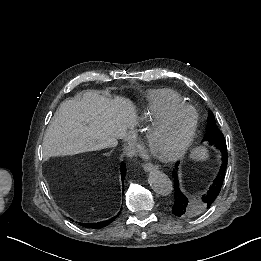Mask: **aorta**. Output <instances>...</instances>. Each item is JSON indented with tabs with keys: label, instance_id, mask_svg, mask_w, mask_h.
Here are the masks:
<instances>
[{
	"label": "aorta",
	"instance_id": "1",
	"mask_svg": "<svg viewBox=\"0 0 261 261\" xmlns=\"http://www.w3.org/2000/svg\"><path fill=\"white\" fill-rule=\"evenodd\" d=\"M148 182L151 188L159 195L167 196L173 191V184L170 178L158 170H153L149 173Z\"/></svg>",
	"mask_w": 261,
	"mask_h": 261
}]
</instances>
